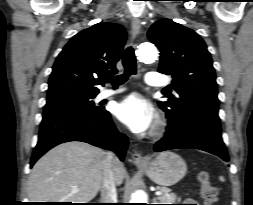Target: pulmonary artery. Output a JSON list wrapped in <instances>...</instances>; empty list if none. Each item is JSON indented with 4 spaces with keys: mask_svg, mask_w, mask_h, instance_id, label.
<instances>
[{
    "mask_svg": "<svg viewBox=\"0 0 253 205\" xmlns=\"http://www.w3.org/2000/svg\"><path fill=\"white\" fill-rule=\"evenodd\" d=\"M145 82L150 85V86H164L167 84V82L165 80H163L159 74L155 73V72H148L146 74L145 77ZM124 89L123 88H119L116 90H112V89H104L102 90L99 95H98V99L99 100H103L112 96H115L121 92H123Z\"/></svg>",
    "mask_w": 253,
    "mask_h": 205,
    "instance_id": "1",
    "label": "pulmonary artery"
}]
</instances>
